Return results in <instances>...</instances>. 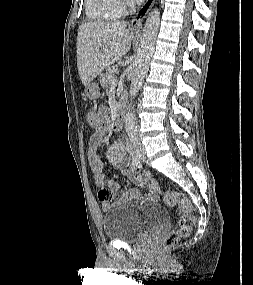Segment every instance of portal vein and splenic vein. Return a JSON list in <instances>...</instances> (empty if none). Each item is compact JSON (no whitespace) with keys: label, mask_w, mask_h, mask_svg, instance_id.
I'll list each match as a JSON object with an SVG mask.
<instances>
[{"label":"portal vein and splenic vein","mask_w":253,"mask_h":285,"mask_svg":"<svg viewBox=\"0 0 253 285\" xmlns=\"http://www.w3.org/2000/svg\"><path fill=\"white\" fill-rule=\"evenodd\" d=\"M118 82V77L115 76L112 79H110L109 84L110 85H115Z\"/></svg>","instance_id":"portal-vein-and-splenic-vein-1"}]
</instances>
